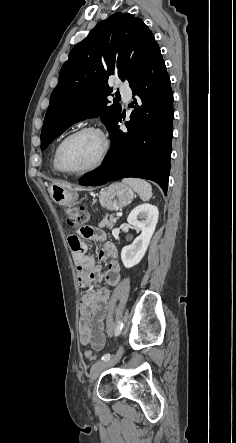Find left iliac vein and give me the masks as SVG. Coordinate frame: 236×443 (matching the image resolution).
<instances>
[{"mask_svg": "<svg viewBox=\"0 0 236 443\" xmlns=\"http://www.w3.org/2000/svg\"><path fill=\"white\" fill-rule=\"evenodd\" d=\"M122 352L123 348L120 346L115 356L111 360H102L94 363L90 370V381L93 382L104 370L114 366L120 360ZM88 395L90 396V390L88 391Z\"/></svg>", "mask_w": 236, "mask_h": 443, "instance_id": "1", "label": "left iliac vein"}]
</instances>
